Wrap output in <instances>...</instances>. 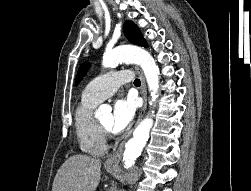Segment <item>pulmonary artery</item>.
<instances>
[{
	"label": "pulmonary artery",
	"mask_w": 251,
	"mask_h": 191,
	"mask_svg": "<svg viewBox=\"0 0 251 191\" xmlns=\"http://www.w3.org/2000/svg\"><path fill=\"white\" fill-rule=\"evenodd\" d=\"M132 77V68L106 73L91 81L82 95L87 99L104 100L113 95L122 84L131 81Z\"/></svg>",
	"instance_id": "obj_1"
}]
</instances>
